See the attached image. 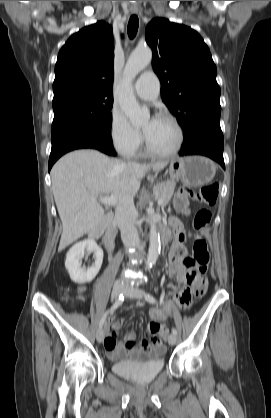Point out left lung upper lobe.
I'll list each match as a JSON object with an SVG mask.
<instances>
[{"label":"left lung upper lobe","mask_w":271,"mask_h":418,"mask_svg":"<svg viewBox=\"0 0 271 418\" xmlns=\"http://www.w3.org/2000/svg\"><path fill=\"white\" fill-rule=\"evenodd\" d=\"M145 36L153 51L162 99L184 133L198 124L219 123L217 69L202 37L190 27L165 18L153 19Z\"/></svg>","instance_id":"5c2ea615"}]
</instances>
